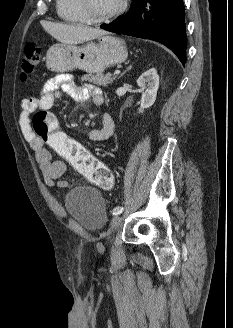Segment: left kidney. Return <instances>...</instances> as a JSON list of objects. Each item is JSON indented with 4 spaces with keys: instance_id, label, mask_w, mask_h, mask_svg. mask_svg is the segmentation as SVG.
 Segmentation results:
<instances>
[{
    "instance_id": "5707ae66",
    "label": "left kidney",
    "mask_w": 233,
    "mask_h": 328,
    "mask_svg": "<svg viewBox=\"0 0 233 328\" xmlns=\"http://www.w3.org/2000/svg\"><path fill=\"white\" fill-rule=\"evenodd\" d=\"M137 84L141 88H145V92L141 97V105L139 113H143L144 109L151 107L157 96L159 88V76L155 68L145 71L138 79Z\"/></svg>"
}]
</instances>
